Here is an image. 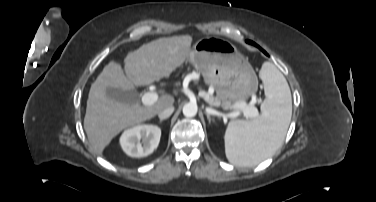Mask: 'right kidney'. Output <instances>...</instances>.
<instances>
[{
  "label": "right kidney",
  "mask_w": 376,
  "mask_h": 202,
  "mask_svg": "<svg viewBox=\"0 0 376 202\" xmlns=\"http://www.w3.org/2000/svg\"><path fill=\"white\" fill-rule=\"evenodd\" d=\"M160 137L158 126L139 124L123 132L120 144L128 156L145 157L157 148Z\"/></svg>",
  "instance_id": "ca27d5eb"
}]
</instances>
